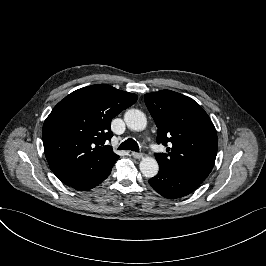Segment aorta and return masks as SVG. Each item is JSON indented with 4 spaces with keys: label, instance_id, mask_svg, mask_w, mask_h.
I'll use <instances>...</instances> for the list:
<instances>
[{
    "label": "aorta",
    "instance_id": "1",
    "mask_svg": "<svg viewBox=\"0 0 266 266\" xmlns=\"http://www.w3.org/2000/svg\"><path fill=\"white\" fill-rule=\"evenodd\" d=\"M124 121L127 127L134 131H142L146 128L147 119L145 114L138 109H129L124 114ZM139 169L144 177L153 178L158 174L159 165L153 157H143Z\"/></svg>",
    "mask_w": 266,
    "mask_h": 266
}]
</instances>
